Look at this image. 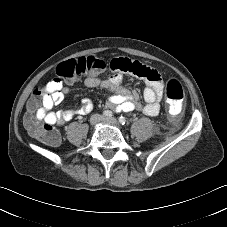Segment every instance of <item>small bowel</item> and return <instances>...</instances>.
I'll return each mask as SVG.
<instances>
[{
	"label": "small bowel",
	"mask_w": 227,
	"mask_h": 227,
	"mask_svg": "<svg viewBox=\"0 0 227 227\" xmlns=\"http://www.w3.org/2000/svg\"><path fill=\"white\" fill-rule=\"evenodd\" d=\"M131 66V60L114 59L111 67L115 74L112 77L100 79L95 75H91L85 79L84 83L87 87H100L110 91L111 94L107 97L108 107L115 112L140 110L142 107L135 94L122 85L123 74L132 73L130 70ZM154 75V79L144 77L146 87L142 92L143 100L146 103L142 110L149 116H156L159 113L164 90L160 75L155 71ZM69 91L70 89L67 85H61L57 90L46 93L43 98V106L36 110L37 118L45 124L59 126L77 115H87L93 111V102L88 98L83 99L78 107H71L57 112L52 111V108L60 104Z\"/></svg>",
	"instance_id": "1"
}]
</instances>
